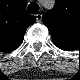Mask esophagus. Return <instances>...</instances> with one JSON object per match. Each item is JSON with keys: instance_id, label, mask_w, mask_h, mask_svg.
Wrapping results in <instances>:
<instances>
[{"instance_id": "34e87169", "label": "esophagus", "mask_w": 80, "mask_h": 80, "mask_svg": "<svg viewBox=\"0 0 80 80\" xmlns=\"http://www.w3.org/2000/svg\"><path fill=\"white\" fill-rule=\"evenodd\" d=\"M35 17H36L37 22H41V20H42V15L41 14H36Z\"/></svg>"}]
</instances>
